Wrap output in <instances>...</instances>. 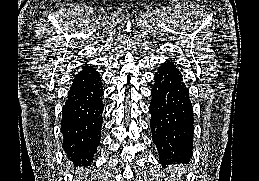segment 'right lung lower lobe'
Here are the masks:
<instances>
[{
    "label": "right lung lower lobe",
    "instance_id": "right-lung-lower-lobe-1",
    "mask_svg": "<svg viewBox=\"0 0 259 181\" xmlns=\"http://www.w3.org/2000/svg\"><path fill=\"white\" fill-rule=\"evenodd\" d=\"M103 93L100 74L93 67L85 66L75 75L61 120L63 148L69 159L93 160L101 139Z\"/></svg>",
    "mask_w": 259,
    "mask_h": 181
}]
</instances>
